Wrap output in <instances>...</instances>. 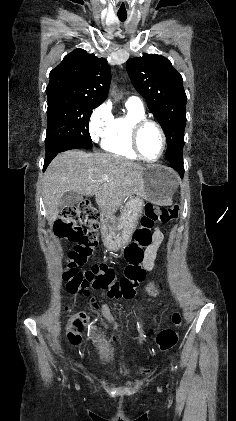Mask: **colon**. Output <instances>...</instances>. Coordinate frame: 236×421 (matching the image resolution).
I'll return each mask as SVG.
<instances>
[{
  "label": "colon",
  "mask_w": 236,
  "mask_h": 421,
  "mask_svg": "<svg viewBox=\"0 0 236 421\" xmlns=\"http://www.w3.org/2000/svg\"><path fill=\"white\" fill-rule=\"evenodd\" d=\"M180 207H159L153 204H146L144 215L140 220V227L135 232L134 241L125 249V258L128 263L125 275L118 277L115 269L106 264H95L90 269L82 272L80 267L84 266L94 255L98 248L99 225L91 222L87 225L81 223V213L75 207H66L59 213L54 224L56 236L74 244L69 253L67 268L64 278L67 281V289L71 293L87 295L89 289L104 291L109 298H132L135 288L145 278V270L142 263L150 254L155 238L152 228L155 223H167L178 217ZM147 248L150 250L147 252ZM155 251L152 252V257ZM86 315L82 313L73 323L68 333L69 342L82 348L83 340L80 335L82 322H85ZM172 322L179 327L182 317L174 313ZM178 340V332L175 329H165L156 336V345L161 350H168L175 346Z\"/></svg>",
  "instance_id": "5ec220e1"
}]
</instances>
